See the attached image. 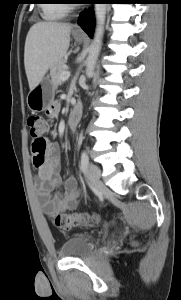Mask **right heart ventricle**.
I'll list each match as a JSON object with an SVG mask.
<instances>
[{
    "label": "right heart ventricle",
    "mask_w": 181,
    "mask_h": 300,
    "mask_svg": "<svg viewBox=\"0 0 181 300\" xmlns=\"http://www.w3.org/2000/svg\"><path fill=\"white\" fill-rule=\"evenodd\" d=\"M67 14V6L60 3V0H45L41 5V15L45 20L55 21Z\"/></svg>",
    "instance_id": "right-heart-ventricle-1"
}]
</instances>
